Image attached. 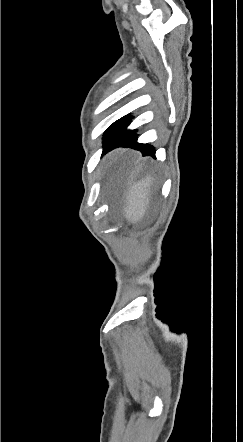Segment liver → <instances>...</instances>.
Instances as JSON below:
<instances>
[{
	"mask_svg": "<svg viewBox=\"0 0 243 442\" xmlns=\"http://www.w3.org/2000/svg\"><path fill=\"white\" fill-rule=\"evenodd\" d=\"M140 169L141 165L136 168V171L138 172ZM136 171L132 172L127 182L123 207L125 218L133 224L139 222L144 217L150 204L151 186L153 185V178L151 176L136 182L134 180Z\"/></svg>",
	"mask_w": 243,
	"mask_h": 442,
	"instance_id": "1",
	"label": "liver"
}]
</instances>
